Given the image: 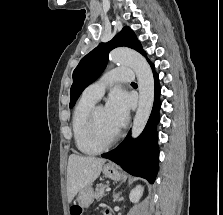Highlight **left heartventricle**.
Masks as SVG:
<instances>
[{"label": "left heart ventricle", "mask_w": 223, "mask_h": 215, "mask_svg": "<svg viewBox=\"0 0 223 215\" xmlns=\"http://www.w3.org/2000/svg\"><path fill=\"white\" fill-rule=\"evenodd\" d=\"M97 124L99 135L103 142H109L115 137L118 128L108 118L105 108L103 107L98 110Z\"/></svg>", "instance_id": "b2bd125f"}]
</instances>
